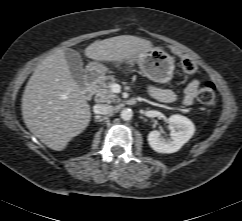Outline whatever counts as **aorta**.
I'll use <instances>...</instances> for the list:
<instances>
[{"label":"aorta","instance_id":"aorta-1","mask_svg":"<svg viewBox=\"0 0 242 221\" xmlns=\"http://www.w3.org/2000/svg\"><path fill=\"white\" fill-rule=\"evenodd\" d=\"M121 118L125 121H129L132 119V116H133V112L131 109L129 108H124L122 111H121V114H120Z\"/></svg>","mask_w":242,"mask_h":221}]
</instances>
